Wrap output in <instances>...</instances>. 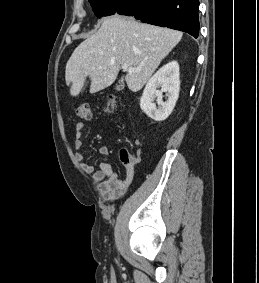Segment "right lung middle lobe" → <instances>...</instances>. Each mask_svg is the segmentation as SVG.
<instances>
[{"label": "right lung middle lobe", "instance_id": "right-lung-middle-lobe-1", "mask_svg": "<svg viewBox=\"0 0 259 283\" xmlns=\"http://www.w3.org/2000/svg\"><path fill=\"white\" fill-rule=\"evenodd\" d=\"M91 5L93 6L94 13L97 17L112 15L110 14L107 6L106 0H89Z\"/></svg>", "mask_w": 259, "mask_h": 283}]
</instances>
